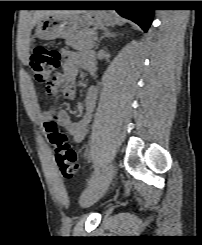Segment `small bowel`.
I'll use <instances>...</instances> for the list:
<instances>
[{
    "label": "small bowel",
    "instance_id": "1",
    "mask_svg": "<svg viewBox=\"0 0 202 245\" xmlns=\"http://www.w3.org/2000/svg\"><path fill=\"white\" fill-rule=\"evenodd\" d=\"M63 57V72L55 79V83L57 84L56 93L62 90L67 99H74L76 95L75 82L80 68L86 71H93L95 69V60L91 55H82L74 51H64ZM96 98V89H89L84 98V112L78 120L72 119L69 112L66 110L57 112L54 109L40 113L39 119L45 123L48 119L56 117L57 122L77 141H80L84 138L87 127L91 121Z\"/></svg>",
    "mask_w": 202,
    "mask_h": 245
}]
</instances>
